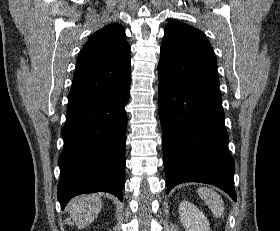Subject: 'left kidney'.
Masks as SVG:
<instances>
[{
  "mask_svg": "<svg viewBox=\"0 0 280 231\" xmlns=\"http://www.w3.org/2000/svg\"><path fill=\"white\" fill-rule=\"evenodd\" d=\"M178 211L186 231H210V223L207 217L194 203L182 199L180 205H178Z\"/></svg>",
  "mask_w": 280,
  "mask_h": 231,
  "instance_id": "left-kidney-1",
  "label": "left kidney"
}]
</instances>
